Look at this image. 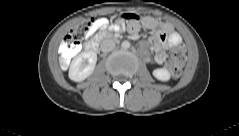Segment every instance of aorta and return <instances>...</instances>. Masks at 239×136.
<instances>
[{"label": "aorta", "mask_w": 239, "mask_h": 136, "mask_svg": "<svg viewBox=\"0 0 239 136\" xmlns=\"http://www.w3.org/2000/svg\"><path fill=\"white\" fill-rule=\"evenodd\" d=\"M121 46L123 49H128L130 47V43L128 41H123Z\"/></svg>", "instance_id": "aorta-1"}]
</instances>
